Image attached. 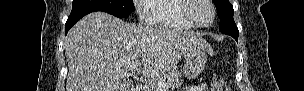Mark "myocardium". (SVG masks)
<instances>
[{
    "instance_id": "myocardium-1",
    "label": "myocardium",
    "mask_w": 304,
    "mask_h": 91,
    "mask_svg": "<svg viewBox=\"0 0 304 91\" xmlns=\"http://www.w3.org/2000/svg\"><path fill=\"white\" fill-rule=\"evenodd\" d=\"M204 2H206L212 9V20L207 23V24H202V23H199L195 18H194V15H193V11L196 9V7L198 6L199 4V0H184V7L182 9V13L185 17V19L191 23L194 27H197V28H207V27H210L215 19H216V8L214 6V3L212 0H203Z\"/></svg>"
}]
</instances>
